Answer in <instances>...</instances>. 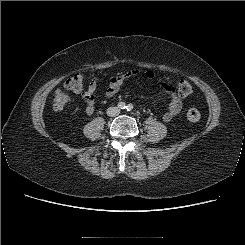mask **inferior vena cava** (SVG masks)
<instances>
[{
  "mask_svg": "<svg viewBox=\"0 0 245 245\" xmlns=\"http://www.w3.org/2000/svg\"><path fill=\"white\" fill-rule=\"evenodd\" d=\"M120 114V109L118 107H109L107 109V115L110 117H115Z\"/></svg>",
  "mask_w": 245,
  "mask_h": 245,
  "instance_id": "1",
  "label": "inferior vena cava"
}]
</instances>
